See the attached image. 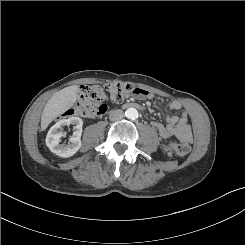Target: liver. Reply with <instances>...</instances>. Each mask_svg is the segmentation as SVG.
Wrapping results in <instances>:
<instances>
[{"mask_svg":"<svg viewBox=\"0 0 245 245\" xmlns=\"http://www.w3.org/2000/svg\"><path fill=\"white\" fill-rule=\"evenodd\" d=\"M78 86H69L56 92L47 102L41 116V130L44 131L48 125L75 103Z\"/></svg>","mask_w":245,"mask_h":245,"instance_id":"liver-1","label":"liver"}]
</instances>
